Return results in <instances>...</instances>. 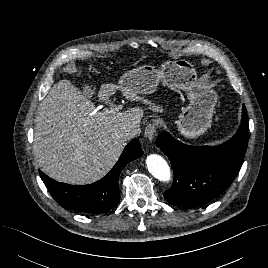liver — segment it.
I'll list each match as a JSON object with an SVG mask.
<instances>
[{"mask_svg": "<svg viewBox=\"0 0 268 268\" xmlns=\"http://www.w3.org/2000/svg\"><path fill=\"white\" fill-rule=\"evenodd\" d=\"M118 87L102 85L99 99L109 113H95V105L69 80L56 83L42 100L35 117L34 157L49 177L75 185L90 184L105 176L119 158L126 140L115 132L139 128L144 109L121 111L109 98ZM131 101L141 98L123 92ZM148 104V101H144Z\"/></svg>", "mask_w": 268, "mask_h": 268, "instance_id": "1", "label": "liver"}]
</instances>
